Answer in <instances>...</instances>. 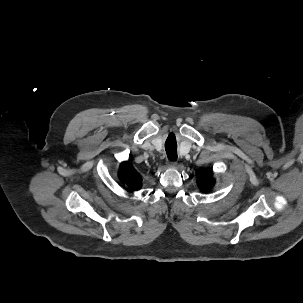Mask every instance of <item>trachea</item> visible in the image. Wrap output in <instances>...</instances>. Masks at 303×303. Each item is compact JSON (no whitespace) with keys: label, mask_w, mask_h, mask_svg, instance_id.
<instances>
[{"label":"trachea","mask_w":303,"mask_h":303,"mask_svg":"<svg viewBox=\"0 0 303 303\" xmlns=\"http://www.w3.org/2000/svg\"><path fill=\"white\" fill-rule=\"evenodd\" d=\"M165 150L168 159L175 161L177 159V143L174 135H169L165 142Z\"/></svg>","instance_id":"obj_1"}]
</instances>
